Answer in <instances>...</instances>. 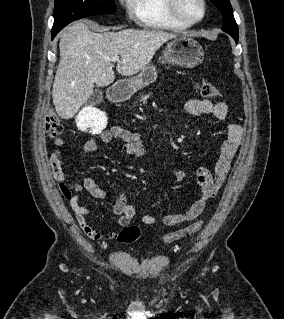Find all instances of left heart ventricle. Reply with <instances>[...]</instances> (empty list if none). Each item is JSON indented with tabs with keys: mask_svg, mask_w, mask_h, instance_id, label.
<instances>
[{
	"mask_svg": "<svg viewBox=\"0 0 284 319\" xmlns=\"http://www.w3.org/2000/svg\"><path fill=\"white\" fill-rule=\"evenodd\" d=\"M179 8L182 14L190 20L200 18L203 12L200 0H179Z\"/></svg>",
	"mask_w": 284,
	"mask_h": 319,
	"instance_id": "b2bd125f",
	"label": "left heart ventricle"
}]
</instances>
